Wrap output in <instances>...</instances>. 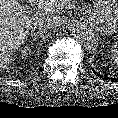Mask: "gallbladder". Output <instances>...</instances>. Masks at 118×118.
<instances>
[{"label":"gallbladder","instance_id":"obj_1","mask_svg":"<svg viewBox=\"0 0 118 118\" xmlns=\"http://www.w3.org/2000/svg\"><path fill=\"white\" fill-rule=\"evenodd\" d=\"M20 1H23V0H20ZM29 7H30L29 5H25L23 6V10L26 11L27 9H29Z\"/></svg>","mask_w":118,"mask_h":118}]
</instances>
